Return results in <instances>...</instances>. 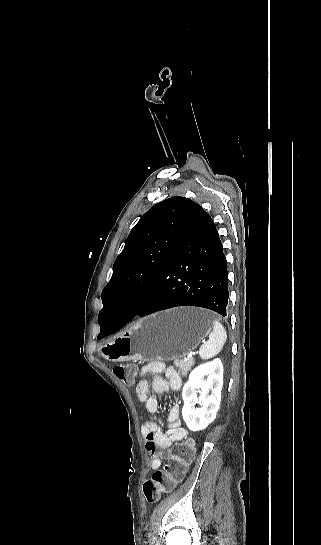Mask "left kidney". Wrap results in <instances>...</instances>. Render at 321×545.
Returning a JSON list of instances; mask_svg holds the SVG:
<instances>
[{
  "instance_id": "1",
  "label": "left kidney",
  "mask_w": 321,
  "mask_h": 545,
  "mask_svg": "<svg viewBox=\"0 0 321 545\" xmlns=\"http://www.w3.org/2000/svg\"><path fill=\"white\" fill-rule=\"evenodd\" d=\"M222 387L223 365L220 359L199 365L191 371L182 391V417L190 431H203L215 421ZM197 389H201L200 397H197ZM197 403L202 407L200 411L195 407Z\"/></svg>"
}]
</instances>
